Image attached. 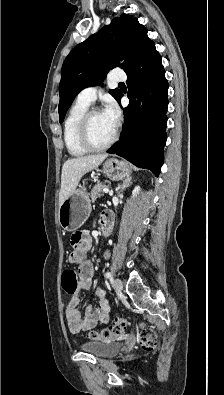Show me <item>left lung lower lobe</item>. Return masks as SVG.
<instances>
[{"instance_id":"0a47b994","label":"left lung lower lobe","mask_w":224,"mask_h":395,"mask_svg":"<svg viewBox=\"0 0 224 395\" xmlns=\"http://www.w3.org/2000/svg\"><path fill=\"white\" fill-rule=\"evenodd\" d=\"M126 74L130 103L124 108L122 137L107 152L158 176L167 138L168 82L154 42L141 52ZM122 96L121 93L118 103Z\"/></svg>"}]
</instances>
